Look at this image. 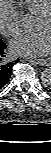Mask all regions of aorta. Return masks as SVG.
<instances>
[{"instance_id": "aorta-1", "label": "aorta", "mask_w": 51, "mask_h": 153, "mask_svg": "<svg viewBox=\"0 0 51 153\" xmlns=\"http://www.w3.org/2000/svg\"><path fill=\"white\" fill-rule=\"evenodd\" d=\"M41 81L46 86H50L51 85V69L47 68L42 72Z\"/></svg>"}]
</instances>
